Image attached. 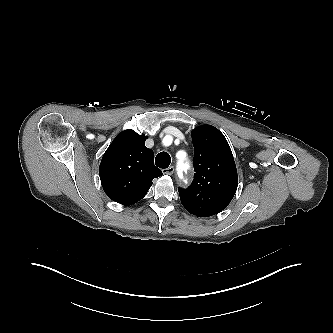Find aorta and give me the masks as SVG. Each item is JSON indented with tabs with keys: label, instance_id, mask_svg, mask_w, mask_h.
<instances>
[{
	"label": "aorta",
	"instance_id": "obj_1",
	"mask_svg": "<svg viewBox=\"0 0 333 333\" xmlns=\"http://www.w3.org/2000/svg\"><path fill=\"white\" fill-rule=\"evenodd\" d=\"M178 167H179V169H180L181 171H183V170H187V169H189V167H190V163H189V161L185 158V159L179 161V163H178Z\"/></svg>",
	"mask_w": 333,
	"mask_h": 333
}]
</instances>
